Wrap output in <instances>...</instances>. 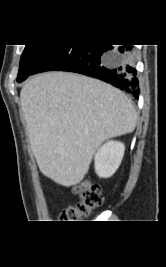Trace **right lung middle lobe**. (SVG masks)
Segmentation results:
<instances>
[{"label":"right lung middle lobe","instance_id":"right-lung-middle-lobe-1","mask_svg":"<svg viewBox=\"0 0 166 267\" xmlns=\"http://www.w3.org/2000/svg\"><path fill=\"white\" fill-rule=\"evenodd\" d=\"M54 44L26 45L20 60L17 82L24 81L55 48Z\"/></svg>","mask_w":166,"mask_h":267}]
</instances>
